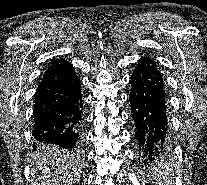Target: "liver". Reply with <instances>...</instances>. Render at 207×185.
Masks as SVG:
<instances>
[{
  "label": "liver",
  "instance_id": "1",
  "mask_svg": "<svg viewBox=\"0 0 207 185\" xmlns=\"http://www.w3.org/2000/svg\"><path fill=\"white\" fill-rule=\"evenodd\" d=\"M42 149L41 157H33L31 161V165L37 167L39 175H47L48 183H51L49 177H52L53 173H51L50 165H52L51 161H53V163L59 165V169L54 171L58 175L56 183L73 185L75 183V175H77L78 171L80 173V169H76L79 165L77 161H74L71 153L66 149H60V147H52L51 151L48 147H42ZM67 165L70 169H66ZM33 175L34 173H32V177Z\"/></svg>",
  "mask_w": 207,
  "mask_h": 185
}]
</instances>
